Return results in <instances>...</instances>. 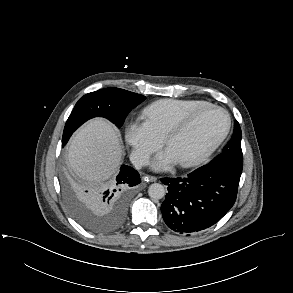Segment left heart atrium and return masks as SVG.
<instances>
[{
  "mask_svg": "<svg viewBox=\"0 0 293 293\" xmlns=\"http://www.w3.org/2000/svg\"><path fill=\"white\" fill-rule=\"evenodd\" d=\"M177 161L173 157L170 150L167 148L166 150L160 152L152 161V167L156 170H165L175 164Z\"/></svg>",
  "mask_w": 293,
  "mask_h": 293,
  "instance_id": "obj_1",
  "label": "left heart atrium"
}]
</instances>
